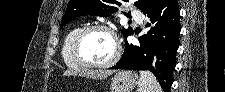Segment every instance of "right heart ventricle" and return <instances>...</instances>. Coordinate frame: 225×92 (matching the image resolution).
Returning <instances> with one entry per match:
<instances>
[{"instance_id": "right-heart-ventricle-1", "label": "right heart ventricle", "mask_w": 225, "mask_h": 92, "mask_svg": "<svg viewBox=\"0 0 225 92\" xmlns=\"http://www.w3.org/2000/svg\"><path fill=\"white\" fill-rule=\"evenodd\" d=\"M82 28L81 25H76L69 29L67 33L64 36L62 49H61V56L63 62L72 68H79L80 66L76 63V61L73 58V55L70 50V45L73 40V37L76 35V33Z\"/></svg>"}]
</instances>
